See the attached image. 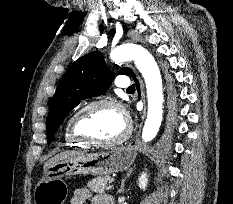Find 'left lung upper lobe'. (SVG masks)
Segmentation results:
<instances>
[{
  "label": "left lung upper lobe",
  "instance_id": "5c2ea615",
  "mask_svg": "<svg viewBox=\"0 0 233 204\" xmlns=\"http://www.w3.org/2000/svg\"><path fill=\"white\" fill-rule=\"evenodd\" d=\"M120 74L134 75L130 68L124 67ZM114 73L111 72L99 51L91 52L72 64L64 74L52 98L47 121V141L53 136L65 117L81 100L100 96L110 87Z\"/></svg>",
  "mask_w": 233,
  "mask_h": 204
}]
</instances>
